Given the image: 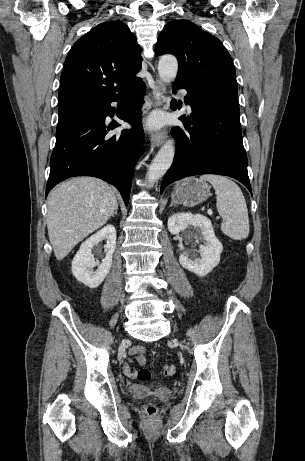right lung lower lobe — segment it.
<instances>
[{"mask_svg": "<svg viewBox=\"0 0 305 461\" xmlns=\"http://www.w3.org/2000/svg\"><path fill=\"white\" fill-rule=\"evenodd\" d=\"M145 92V84L141 82L110 98L58 107L56 144L50 159L46 197L56 184L69 177L94 176L113 184L128 204L134 166L144 151L140 97ZM112 102H118L120 112L110 105ZM115 113L133 128L111 134L110 130L119 124L106 125L105 118Z\"/></svg>", "mask_w": 305, "mask_h": 461, "instance_id": "obj_1", "label": "right lung lower lobe"}]
</instances>
